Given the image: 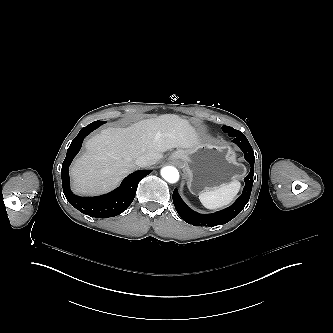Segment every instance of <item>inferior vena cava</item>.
Instances as JSON below:
<instances>
[{"mask_svg":"<svg viewBox=\"0 0 333 333\" xmlns=\"http://www.w3.org/2000/svg\"><path fill=\"white\" fill-rule=\"evenodd\" d=\"M135 164L139 167H146L150 165V161L147 156L142 155L135 160Z\"/></svg>","mask_w":333,"mask_h":333,"instance_id":"602c4592","label":"inferior vena cava"}]
</instances>
